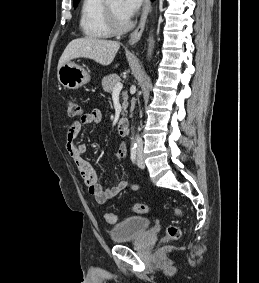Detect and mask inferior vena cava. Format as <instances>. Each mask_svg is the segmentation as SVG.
Instances as JSON below:
<instances>
[{
  "instance_id": "1",
  "label": "inferior vena cava",
  "mask_w": 259,
  "mask_h": 283,
  "mask_svg": "<svg viewBox=\"0 0 259 283\" xmlns=\"http://www.w3.org/2000/svg\"><path fill=\"white\" fill-rule=\"evenodd\" d=\"M136 144H137V148L139 150H141L143 148V142H142V139L139 136H137V138H136Z\"/></svg>"
}]
</instances>
